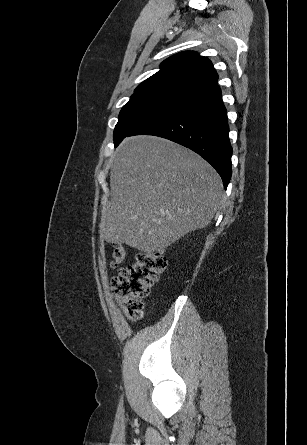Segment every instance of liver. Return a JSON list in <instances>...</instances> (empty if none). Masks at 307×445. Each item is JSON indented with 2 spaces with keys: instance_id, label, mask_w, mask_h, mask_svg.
Segmentation results:
<instances>
[{
  "instance_id": "1",
  "label": "liver",
  "mask_w": 307,
  "mask_h": 445,
  "mask_svg": "<svg viewBox=\"0 0 307 445\" xmlns=\"http://www.w3.org/2000/svg\"><path fill=\"white\" fill-rule=\"evenodd\" d=\"M102 208L107 243L155 253L207 227L223 200L222 180L199 154L160 136H129L110 170Z\"/></svg>"
}]
</instances>
